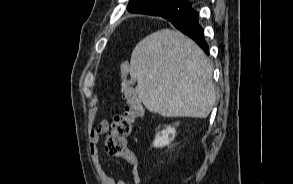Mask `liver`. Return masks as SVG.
Wrapping results in <instances>:
<instances>
[{"label": "liver", "instance_id": "obj_1", "mask_svg": "<svg viewBox=\"0 0 293 184\" xmlns=\"http://www.w3.org/2000/svg\"><path fill=\"white\" fill-rule=\"evenodd\" d=\"M212 71L202 49L171 29L142 39L130 61L138 98L150 112L163 117H207L216 99Z\"/></svg>", "mask_w": 293, "mask_h": 184}]
</instances>
